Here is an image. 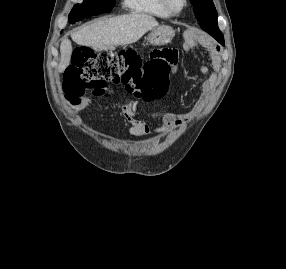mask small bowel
Segmentation results:
<instances>
[{
  "mask_svg": "<svg viewBox=\"0 0 286 269\" xmlns=\"http://www.w3.org/2000/svg\"><path fill=\"white\" fill-rule=\"evenodd\" d=\"M193 46L194 42L190 40L188 43H185L184 48L186 51H191ZM205 49L209 51L213 57H216L218 47L207 45ZM171 68L175 70L178 68V54L177 57L171 62ZM217 68L218 63L216 61H213L211 68L206 65H202L200 67V71L203 74H207L208 77L200 84V94L195 105V109L199 110L205 105L209 93L217 79L215 74ZM138 112L139 108L134 105L125 106L121 111L123 118L130 124L129 134L133 138L148 136L150 133V129L146 121L137 117ZM150 116L157 119L160 122V127L166 131L180 128L191 120L190 113H169L161 110L150 112Z\"/></svg>",
  "mask_w": 286,
  "mask_h": 269,
  "instance_id": "obj_1",
  "label": "small bowel"
}]
</instances>
